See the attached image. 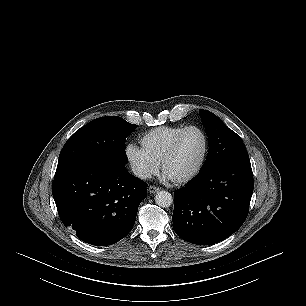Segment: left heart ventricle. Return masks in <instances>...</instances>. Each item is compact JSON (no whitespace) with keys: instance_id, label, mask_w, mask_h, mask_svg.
<instances>
[{"instance_id":"obj_1","label":"left heart ventricle","mask_w":306,"mask_h":306,"mask_svg":"<svg viewBox=\"0 0 306 306\" xmlns=\"http://www.w3.org/2000/svg\"><path fill=\"white\" fill-rule=\"evenodd\" d=\"M204 151V139L197 130L187 131L174 156L165 166V172L173 179L189 175L198 166Z\"/></svg>"}]
</instances>
